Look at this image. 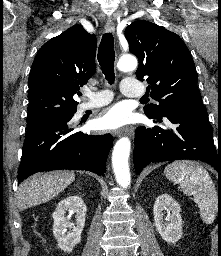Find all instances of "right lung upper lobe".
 Returning <instances> with one entry per match:
<instances>
[{
	"instance_id": "cb5924a9",
	"label": "right lung upper lobe",
	"mask_w": 221,
	"mask_h": 256,
	"mask_svg": "<svg viewBox=\"0 0 221 256\" xmlns=\"http://www.w3.org/2000/svg\"><path fill=\"white\" fill-rule=\"evenodd\" d=\"M96 44L94 34L75 25L39 49L29 74L28 116L76 112L73 95L96 71Z\"/></svg>"
}]
</instances>
